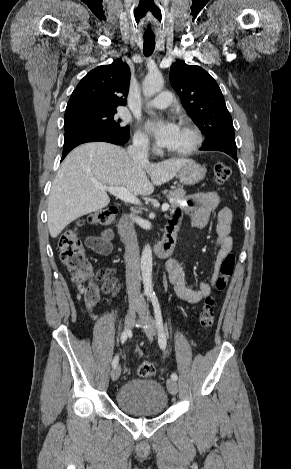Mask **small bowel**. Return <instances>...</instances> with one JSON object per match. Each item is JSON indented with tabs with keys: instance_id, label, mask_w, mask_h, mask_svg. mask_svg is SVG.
Here are the masks:
<instances>
[{
	"instance_id": "small-bowel-1",
	"label": "small bowel",
	"mask_w": 291,
	"mask_h": 469,
	"mask_svg": "<svg viewBox=\"0 0 291 469\" xmlns=\"http://www.w3.org/2000/svg\"><path fill=\"white\" fill-rule=\"evenodd\" d=\"M218 205L219 197L216 193H197L186 199L180 208L173 211L168 225L178 230L183 216L186 215L193 228L202 229L207 225L210 216L217 209ZM231 222L232 211L228 207L222 208L217 216L216 252L213 274L210 281L203 280L198 284L197 288H190L187 285L185 271L181 262L174 258L166 263L165 268L170 282L174 287L176 295L181 300L195 304L210 294L211 288L217 278L220 264L227 255L231 254L233 248V241L230 236ZM107 235L91 238L89 240L90 247L100 254H107L110 251Z\"/></svg>"
}]
</instances>
